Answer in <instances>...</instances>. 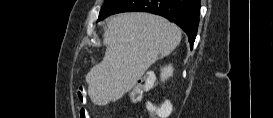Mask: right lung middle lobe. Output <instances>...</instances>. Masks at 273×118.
<instances>
[{"mask_svg":"<svg viewBox=\"0 0 273 118\" xmlns=\"http://www.w3.org/2000/svg\"><path fill=\"white\" fill-rule=\"evenodd\" d=\"M122 0H105L101 11L99 13V18L97 20L100 21L104 18H106L107 16H109L112 12V10L121 2Z\"/></svg>","mask_w":273,"mask_h":118,"instance_id":"obj_1","label":"right lung middle lobe"}]
</instances>
